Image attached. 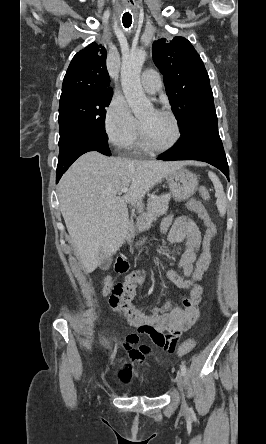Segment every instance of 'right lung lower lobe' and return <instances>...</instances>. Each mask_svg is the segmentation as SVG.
Here are the masks:
<instances>
[{
	"instance_id": "obj_1",
	"label": "right lung lower lobe",
	"mask_w": 266,
	"mask_h": 444,
	"mask_svg": "<svg viewBox=\"0 0 266 444\" xmlns=\"http://www.w3.org/2000/svg\"><path fill=\"white\" fill-rule=\"evenodd\" d=\"M89 151H98L107 156L111 155L107 139L105 138L100 136H90L80 140L78 143L69 148L63 155H59L56 183H58L63 173L66 172V170L78 157Z\"/></svg>"
}]
</instances>
